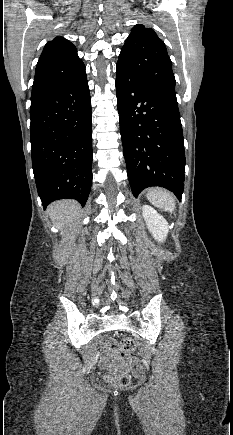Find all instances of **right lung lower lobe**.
Instances as JSON below:
<instances>
[{
    "instance_id": "1",
    "label": "right lung lower lobe",
    "mask_w": 233,
    "mask_h": 435,
    "mask_svg": "<svg viewBox=\"0 0 233 435\" xmlns=\"http://www.w3.org/2000/svg\"><path fill=\"white\" fill-rule=\"evenodd\" d=\"M32 167L46 207L72 198L85 205L92 184V114L86 73L31 100Z\"/></svg>"
}]
</instances>
